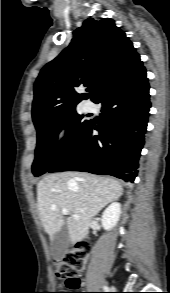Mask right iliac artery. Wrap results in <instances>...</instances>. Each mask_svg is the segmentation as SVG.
Listing matches in <instances>:
<instances>
[{
	"label": "right iliac artery",
	"mask_w": 170,
	"mask_h": 293,
	"mask_svg": "<svg viewBox=\"0 0 170 293\" xmlns=\"http://www.w3.org/2000/svg\"><path fill=\"white\" fill-rule=\"evenodd\" d=\"M103 289L105 292H108V290H109V288L107 286H104Z\"/></svg>",
	"instance_id": "right-iliac-artery-1"
}]
</instances>
